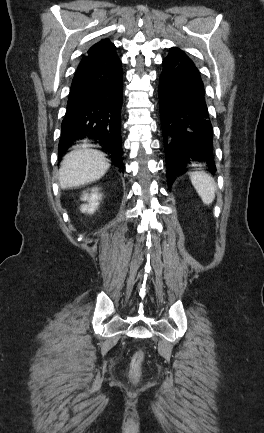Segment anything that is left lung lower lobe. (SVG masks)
Here are the masks:
<instances>
[{
    "mask_svg": "<svg viewBox=\"0 0 264 433\" xmlns=\"http://www.w3.org/2000/svg\"><path fill=\"white\" fill-rule=\"evenodd\" d=\"M162 64L159 108L170 187L191 162H206L211 173L216 168L213 129L198 69L180 49H171Z\"/></svg>",
    "mask_w": 264,
    "mask_h": 433,
    "instance_id": "1",
    "label": "left lung lower lobe"
}]
</instances>
